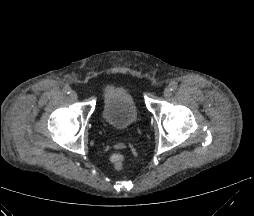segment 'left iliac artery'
I'll use <instances>...</instances> for the list:
<instances>
[{"mask_svg": "<svg viewBox=\"0 0 254 216\" xmlns=\"http://www.w3.org/2000/svg\"><path fill=\"white\" fill-rule=\"evenodd\" d=\"M169 87H170L171 91H175V90H177L178 85L176 82H172V83H170Z\"/></svg>", "mask_w": 254, "mask_h": 216, "instance_id": "left-iliac-artery-1", "label": "left iliac artery"}]
</instances>
